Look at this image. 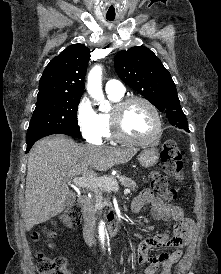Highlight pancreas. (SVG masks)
Returning a JSON list of instances; mask_svg holds the SVG:
<instances>
[{
  "label": "pancreas",
  "instance_id": "cf45deb5",
  "mask_svg": "<svg viewBox=\"0 0 221 274\" xmlns=\"http://www.w3.org/2000/svg\"><path fill=\"white\" fill-rule=\"evenodd\" d=\"M111 179L117 184V181L115 179L113 178ZM121 181L125 187L131 189L132 191H136L137 185L132 179L126 176H122ZM109 191L110 190L106 188H96V189L93 188L91 198L88 201L86 209L89 210L92 214H95L98 210H101L103 207L110 206L108 197L105 198L103 196L104 192H109Z\"/></svg>",
  "mask_w": 221,
  "mask_h": 274
}]
</instances>
